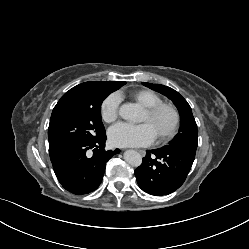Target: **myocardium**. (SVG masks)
I'll return each mask as SVG.
<instances>
[{
    "instance_id": "myocardium-1",
    "label": "myocardium",
    "mask_w": 249,
    "mask_h": 249,
    "mask_svg": "<svg viewBox=\"0 0 249 249\" xmlns=\"http://www.w3.org/2000/svg\"><path fill=\"white\" fill-rule=\"evenodd\" d=\"M162 111H168L171 114V123L164 132L157 135V138L161 141H167L176 134L179 128L180 113L178 108L175 105L167 102H160L155 105L145 107V112L150 118H154Z\"/></svg>"
}]
</instances>
